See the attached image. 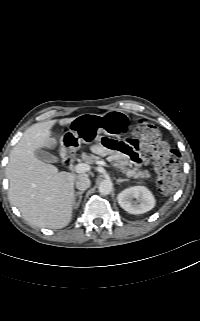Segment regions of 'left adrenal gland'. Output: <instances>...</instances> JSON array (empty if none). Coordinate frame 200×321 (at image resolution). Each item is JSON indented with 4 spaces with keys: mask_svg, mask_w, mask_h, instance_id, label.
Wrapping results in <instances>:
<instances>
[{
    "mask_svg": "<svg viewBox=\"0 0 200 321\" xmlns=\"http://www.w3.org/2000/svg\"><path fill=\"white\" fill-rule=\"evenodd\" d=\"M116 181H117V183L119 184V183H121V182L128 181V179H121V178H119V179H117Z\"/></svg>",
    "mask_w": 200,
    "mask_h": 321,
    "instance_id": "left-adrenal-gland-1",
    "label": "left adrenal gland"
}]
</instances>
